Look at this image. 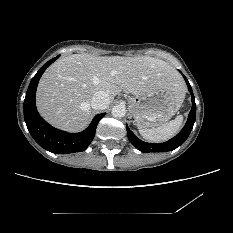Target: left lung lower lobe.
<instances>
[{
    "instance_id": "1",
    "label": "left lung lower lobe",
    "mask_w": 233,
    "mask_h": 233,
    "mask_svg": "<svg viewBox=\"0 0 233 233\" xmlns=\"http://www.w3.org/2000/svg\"><path fill=\"white\" fill-rule=\"evenodd\" d=\"M183 77L187 83L188 90L191 93V100H192V109L189 113L188 120L185 126L175 137H173L167 142L159 143V144H153V143H147V142L141 141L139 138H137L134 135V133L127 126L128 139L138 150L144 153H149V152L160 153V152L172 151L176 149L177 147H179L181 144H183L185 140L188 138L193 128L195 119H196V104H195V97L193 95L191 85L189 84L188 80L186 79L184 75Z\"/></svg>"
}]
</instances>
